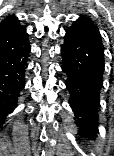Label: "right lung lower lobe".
<instances>
[{
    "mask_svg": "<svg viewBox=\"0 0 114 156\" xmlns=\"http://www.w3.org/2000/svg\"><path fill=\"white\" fill-rule=\"evenodd\" d=\"M30 44L24 27L14 16L0 23V127L17 105L25 86L24 75Z\"/></svg>",
    "mask_w": 114,
    "mask_h": 156,
    "instance_id": "1",
    "label": "right lung lower lobe"
}]
</instances>
